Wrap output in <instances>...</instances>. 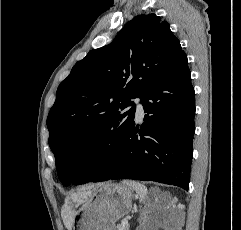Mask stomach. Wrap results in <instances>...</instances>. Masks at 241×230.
<instances>
[{
    "label": "stomach",
    "mask_w": 241,
    "mask_h": 230,
    "mask_svg": "<svg viewBox=\"0 0 241 230\" xmlns=\"http://www.w3.org/2000/svg\"><path fill=\"white\" fill-rule=\"evenodd\" d=\"M132 188L122 184L96 185L75 213L73 230H115V223L132 208Z\"/></svg>",
    "instance_id": "0dacf381"
}]
</instances>
